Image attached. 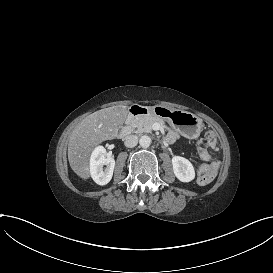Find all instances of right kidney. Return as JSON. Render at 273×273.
<instances>
[{
	"label": "right kidney",
	"mask_w": 273,
	"mask_h": 273,
	"mask_svg": "<svg viewBox=\"0 0 273 273\" xmlns=\"http://www.w3.org/2000/svg\"><path fill=\"white\" fill-rule=\"evenodd\" d=\"M106 149L103 146L96 147L90 157V174L98 185H106L113 176L115 160L106 156ZM106 168L103 170V166Z\"/></svg>",
	"instance_id": "ca27d5eb"
}]
</instances>
